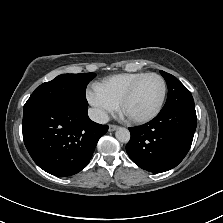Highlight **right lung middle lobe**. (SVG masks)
Segmentation results:
<instances>
[{"instance_id": "1", "label": "right lung middle lobe", "mask_w": 223, "mask_h": 223, "mask_svg": "<svg viewBox=\"0 0 223 223\" xmlns=\"http://www.w3.org/2000/svg\"><path fill=\"white\" fill-rule=\"evenodd\" d=\"M95 73L62 74L37 87L23 111L44 105L71 104L88 107L85 91Z\"/></svg>"}]
</instances>
